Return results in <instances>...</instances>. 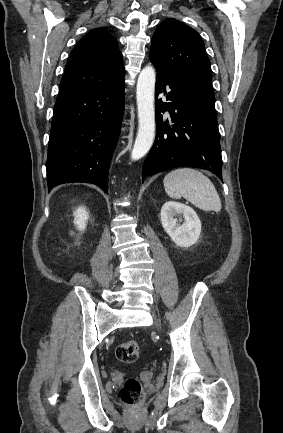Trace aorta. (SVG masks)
Returning <instances> with one entry per match:
<instances>
[{"mask_svg": "<svg viewBox=\"0 0 283 433\" xmlns=\"http://www.w3.org/2000/svg\"><path fill=\"white\" fill-rule=\"evenodd\" d=\"M156 73L152 66H146L139 74L136 89L138 108V132L131 153L132 160H139L147 154L155 138V93Z\"/></svg>", "mask_w": 283, "mask_h": 433, "instance_id": "1", "label": "aorta"}]
</instances>
